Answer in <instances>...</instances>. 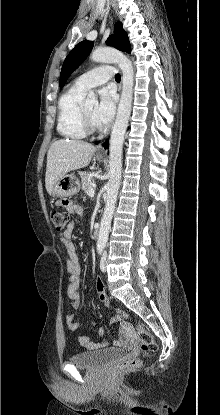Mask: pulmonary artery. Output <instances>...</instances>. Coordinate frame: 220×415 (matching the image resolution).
<instances>
[{
    "mask_svg": "<svg viewBox=\"0 0 220 415\" xmlns=\"http://www.w3.org/2000/svg\"><path fill=\"white\" fill-rule=\"evenodd\" d=\"M115 69L109 65H103L79 76L74 86L83 91L101 85L113 78Z\"/></svg>",
    "mask_w": 220,
    "mask_h": 415,
    "instance_id": "1",
    "label": "pulmonary artery"
}]
</instances>
